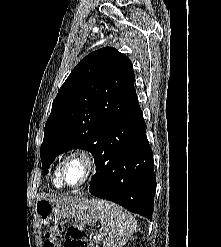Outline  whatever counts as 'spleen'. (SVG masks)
<instances>
[{"label":"spleen","instance_id":"1","mask_svg":"<svg viewBox=\"0 0 221 247\" xmlns=\"http://www.w3.org/2000/svg\"><path fill=\"white\" fill-rule=\"evenodd\" d=\"M98 208L101 211V226L106 235L103 246H124L137 229L134 217L121 206L111 202L101 201Z\"/></svg>","mask_w":221,"mask_h":247}]
</instances>
